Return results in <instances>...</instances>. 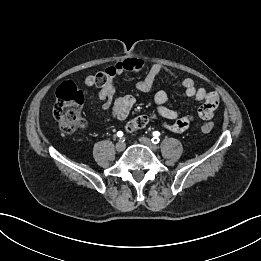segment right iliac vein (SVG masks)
Listing matches in <instances>:
<instances>
[{
  "instance_id": "obj_1",
  "label": "right iliac vein",
  "mask_w": 261,
  "mask_h": 261,
  "mask_svg": "<svg viewBox=\"0 0 261 261\" xmlns=\"http://www.w3.org/2000/svg\"><path fill=\"white\" fill-rule=\"evenodd\" d=\"M115 148L118 152H122L125 149V143L123 141H119Z\"/></svg>"
}]
</instances>
